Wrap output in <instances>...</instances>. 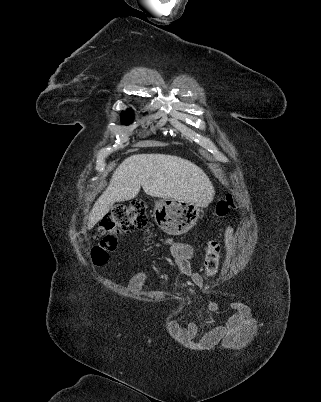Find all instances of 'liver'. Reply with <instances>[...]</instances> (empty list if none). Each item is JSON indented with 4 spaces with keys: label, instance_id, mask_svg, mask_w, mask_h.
Returning <instances> with one entry per match:
<instances>
[{
    "label": "liver",
    "instance_id": "obj_1",
    "mask_svg": "<svg viewBox=\"0 0 321 402\" xmlns=\"http://www.w3.org/2000/svg\"><path fill=\"white\" fill-rule=\"evenodd\" d=\"M142 186L153 197L173 198L207 206L214 187L204 171L186 159L166 154H135L114 171L110 183L97 199L88 217L92 229L115 202L135 198Z\"/></svg>",
    "mask_w": 321,
    "mask_h": 402
}]
</instances>
